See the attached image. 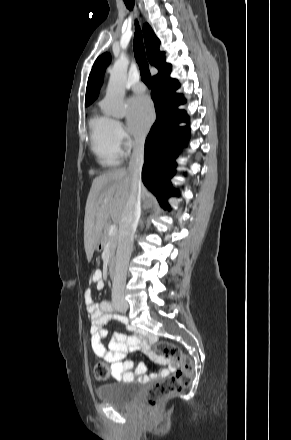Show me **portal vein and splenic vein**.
Wrapping results in <instances>:
<instances>
[{
	"label": "portal vein and splenic vein",
	"instance_id": "1",
	"mask_svg": "<svg viewBox=\"0 0 291 440\" xmlns=\"http://www.w3.org/2000/svg\"><path fill=\"white\" fill-rule=\"evenodd\" d=\"M117 233V226L115 224H112L109 227V235H115Z\"/></svg>",
	"mask_w": 291,
	"mask_h": 440
}]
</instances>
